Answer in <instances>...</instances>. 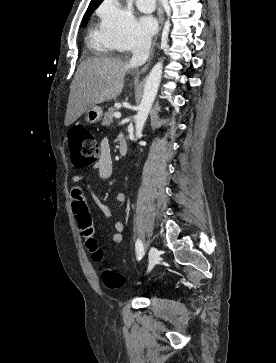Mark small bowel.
<instances>
[{
	"label": "small bowel",
	"mask_w": 276,
	"mask_h": 363,
	"mask_svg": "<svg viewBox=\"0 0 276 363\" xmlns=\"http://www.w3.org/2000/svg\"><path fill=\"white\" fill-rule=\"evenodd\" d=\"M94 168L97 169L101 179L108 180L113 175L114 167L111 155V147L107 138L102 139L100 142V156L97 162L94 164ZM72 181L76 185L72 187L70 196L72 199V208L77 216L78 222L79 217L83 214H87L90 220L89 228H80L82 235L86 240L89 236V233L95 236V229L91 221V215L89 212V205L86 196L87 180L83 173H76L73 175ZM116 201L119 203H125L127 201V197L124 193H118L116 195ZM100 209L106 217L112 216V212L107 206L100 205ZM114 229L116 233L112 240L115 243H120L123 239L122 233L124 231V224L121 221H116L114 223Z\"/></svg>",
	"instance_id": "small-bowel-1"
}]
</instances>
